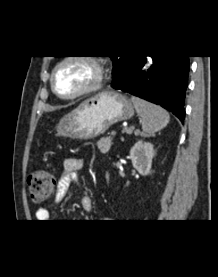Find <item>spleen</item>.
Masks as SVG:
<instances>
[{
	"label": "spleen",
	"mask_w": 218,
	"mask_h": 277,
	"mask_svg": "<svg viewBox=\"0 0 218 277\" xmlns=\"http://www.w3.org/2000/svg\"><path fill=\"white\" fill-rule=\"evenodd\" d=\"M131 101L142 119V129L145 133L153 134L166 127L169 123V113L160 106L135 96L131 97Z\"/></svg>",
	"instance_id": "obj_1"
}]
</instances>
